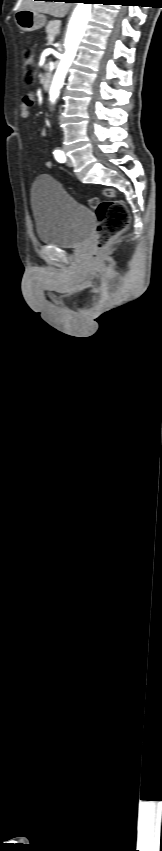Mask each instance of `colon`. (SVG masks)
Segmentation results:
<instances>
[{
  "label": "colon",
  "instance_id": "obj_1",
  "mask_svg": "<svg viewBox=\"0 0 162 851\" xmlns=\"http://www.w3.org/2000/svg\"><path fill=\"white\" fill-rule=\"evenodd\" d=\"M24 82L30 86L36 76L34 53L30 49L23 52ZM103 194L109 199L100 201L93 198L89 205L95 210L98 225L96 228L95 247L103 249L117 235L122 233L129 224L130 214L125 203L115 198L114 190L106 188Z\"/></svg>",
  "mask_w": 162,
  "mask_h": 851
}]
</instances>
